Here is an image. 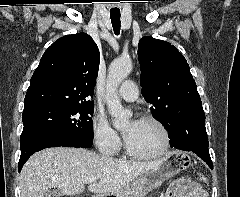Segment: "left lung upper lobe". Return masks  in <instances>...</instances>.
Instances as JSON below:
<instances>
[{"label":"left lung upper lobe","mask_w":240,"mask_h":197,"mask_svg":"<svg viewBox=\"0 0 240 197\" xmlns=\"http://www.w3.org/2000/svg\"><path fill=\"white\" fill-rule=\"evenodd\" d=\"M142 94L153 117L170 132L181 114L202 107L184 56L170 43L144 36L138 46Z\"/></svg>","instance_id":"obj_1"}]
</instances>
